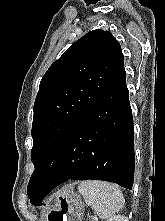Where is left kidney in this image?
Masks as SVG:
<instances>
[{"label": "left kidney", "instance_id": "1", "mask_svg": "<svg viewBox=\"0 0 165 221\" xmlns=\"http://www.w3.org/2000/svg\"><path fill=\"white\" fill-rule=\"evenodd\" d=\"M107 221H129L127 217L122 216V215H116L111 217L109 220Z\"/></svg>", "mask_w": 165, "mask_h": 221}]
</instances>
